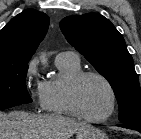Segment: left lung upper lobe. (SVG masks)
<instances>
[{"mask_svg":"<svg viewBox=\"0 0 141 139\" xmlns=\"http://www.w3.org/2000/svg\"><path fill=\"white\" fill-rule=\"evenodd\" d=\"M60 28L68 42L103 75L114 90L122 123L141 122V89L123 36L104 16H68Z\"/></svg>","mask_w":141,"mask_h":139,"instance_id":"left-lung-upper-lobe-1","label":"left lung upper lobe"}]
</instances>
